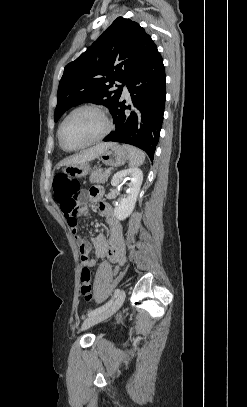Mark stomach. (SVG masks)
I'll use <instances>...</instances> for the list:
<instances>
[{
    "mask_svg": "<svg viewBox=\"0 0 247 407\" xmlns=\"http://www.w3.org/2000/svg\"><path fill=\"white\" fill-rule=\"evenodd\" d=\"M128 159V151L123 146L116 143H110V145L99 155V160L102 161L104 165L111 167L121 166ZM63 171L71 177H83L89 173L90 165L88 162L68 165Z\"/></svg>",
    "mask_w": 247,
    "mask_h": 407,
    "instance_id": "0dacf381",
    "label": "stomach"
}]
</instances>
